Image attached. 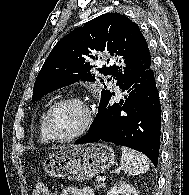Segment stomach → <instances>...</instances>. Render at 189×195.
I'll return each mask as SVG.
<instances>
[{
    "instance_id": "0dacf381",
    "label": "stomach",
    "mask_w": 189,
    "mask_h": 195,
    "mask_svg": "<svg viewBox=\"0 0 189 195\" xmlns=\"http://www.w3.org/2000/svg\"><path fill=\"white\" fill-rule=\"evenodd\" d=\"M115 161L111 147L101 143L63 147L48 154L44 171L51 177L87 180L107 170Z\"/></svg>"
}]
</instances>
